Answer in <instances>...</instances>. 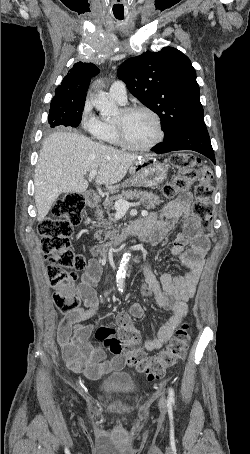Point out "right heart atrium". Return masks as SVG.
Masks as SVG:
<instances>
[{
	"mask_svg": "<svg viewBox=\"0 0 250 454\" xmlns=\"http://www.w3.org/2000/svg\"><path fill=\"white\" fill-rule=\"evenodd\" d=\"M81 124L85 131L93 135L99 129V118L92 113L91 105L89 102H86L83 107Z\"/></svg>",
	"mask_w": 250,
	"mask_h": 454,
	"instance_id": "1",
	"label": "right heart atrium"
}]
</instances>
